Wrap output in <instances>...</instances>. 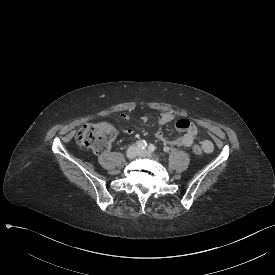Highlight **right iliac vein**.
<instances>
[{
    "mask_svg": "<svg viewBox=\"0 0 275 275\" xmlns=\"http://www.w3.org/2000/svg\"><path fill=\"white\" fill-rule=\"evenodd\" d=\"M139 149L136 146H130L127 150V158L134 159L136 156L139 155Z\"/></svg>",
    "mask_w": 275,
    "mask_h": 275,
    "instance_id": "1",
    "label": "right iliac vein"
}]
</instances>
